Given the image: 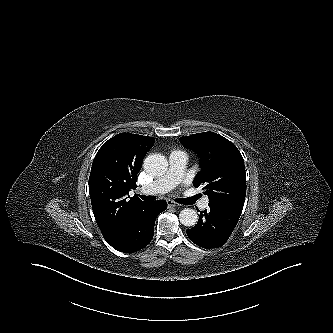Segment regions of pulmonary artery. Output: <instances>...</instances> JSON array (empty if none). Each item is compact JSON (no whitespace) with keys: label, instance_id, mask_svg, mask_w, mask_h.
Listing matches in <instances>:
<instances>
[{"label":"pulmonary artery","instance_id":"obj_1","mask_svg":"<svg viewBox=\"0 0 333 333\" xmlns=\"http://www.w3.org/2000/svg\"><path fill=\"white\" fill-rule=\"evenodd\" d=\"M170 168L160 179L146 186L142 192L146 194H163L175 187L183 178L184 169L187 163V156L181 151L171 153L169 157ZM200 207H208V198L201 201Z\"/></svg>","mask_w":333,"mask_h":333}]
</instances>
